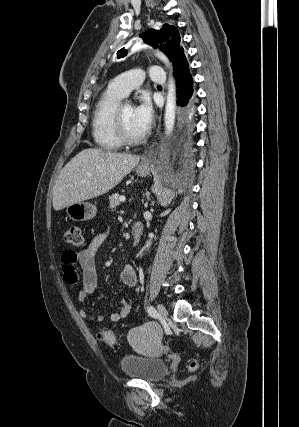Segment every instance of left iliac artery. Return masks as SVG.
I'll return each instance as SVG.
<instances>
[{
    "mask_svg": "<svg viewBox=\"0 0 299 427\" xmlns=\"http://www.w3.org/2000/svg\"><path fill=\"white\" fill-rule=\"evenodd\" d=\"M147 311H148L149 315L152 317H157V315H158L157 311L155 310V308L153 306H148Z\"/></svg>",
    "mask_w": 299,
    "mask_h": 427,
    "instance_id": "obj_1",
    "label": "left iliac artery"
}]
</instances>
